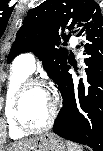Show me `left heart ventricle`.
Returning <instances> with one entry per match:
<instances>
[{"mask_svg":"<svg viewBox=\"0 0 103 151\" xmlns=\"http://www.w3.org/2000/svg\"><path fill=\"white\" fill-rule=\"evenodd\" d=\"M50 98L41 87H32L24 95L19 115L22 122L32 128L43 126L50 114Z\"/></svg>","mask_w":103,"mask_h":151,"instance_id":"1","label":"left heart ventricle"}]
</instances>
